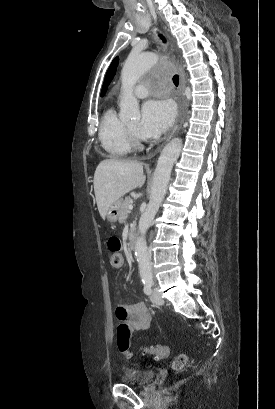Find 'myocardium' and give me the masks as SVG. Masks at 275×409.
Masks as SVG:
<instances>
[{
    "mask_svg": "<svg viewBox=\"0 0 275 409\" xmlns=\"http://www.w3.org/2000/svg\"><path fill=\"white\" fill-rule=\"evenodd\" d=\"M127 134H128L129 142L132 147L142 148L144 146V143L146 142V140L142 138L134 130H132L128 125H127Z\"/></svg>",
    "mask_w": 275,
    "mask_h": 409,
    "instance_id": "1",
    "label": "myocardium"
}]
</instances>
